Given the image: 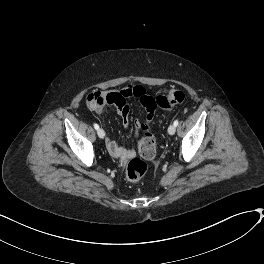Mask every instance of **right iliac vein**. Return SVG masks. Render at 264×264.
I'll list each match as a JSON object with an SVG mask.
<instances>
[{
  "mask_svg": "<svg viewBox=\"0 0 264 264\" xmlns=\"http://www.w3.org/2000/svg\"><path fill=\"white\" fill-rule=\"evenodd\" d=\"M97 134H98V136H99V138H101V139H103L104 137H105V132H104V130L103 129H98L97 130Z\"/></svg>",
  "mask_w": 264,
  "mask_h": 264,
  "instance_id": "63e3f726",
  "label": "right iliac vein"
}]
</instances>
